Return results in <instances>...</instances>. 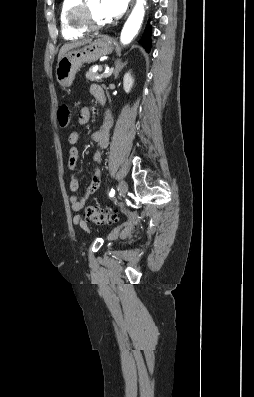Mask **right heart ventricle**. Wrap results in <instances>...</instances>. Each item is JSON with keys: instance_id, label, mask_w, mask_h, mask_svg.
Wrapping results in <instances>:
<instances>
[{"instance_id": "right-heart-ventricle-1", "label": "right heart ventricle", "mask_w": 254, "mask_h": 397, "mask_svg": "<svg viewBox=\"0 0 254 397\" xmlns=\"http://www.w3.org/2000/svg\"><path fill=\"white\" fill-rule=\"evenodd\" d=\"M80 0H63L60 8V30L64 39L75 40L82 37L86 31L76 28L70 21V12Z\"/></svg>"}]
</instances>
